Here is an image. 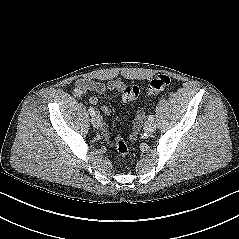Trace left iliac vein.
<instances>
[{"label":"left iliac vein","instance_id":"1","mask_svg":"<svg viewBox=\"0 0 239 239\" xmlns=\"http://www.w3.org/2000/svg\"><path fill=\"white\" fill-rule=\"evenodd\" d=\"M155 128H156V125L154 124L153 121H146L144 124V130L147 133L154 132Z\"/></svg>","mask_w":239,"mask_h":239}]
</instances>
